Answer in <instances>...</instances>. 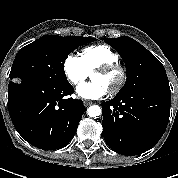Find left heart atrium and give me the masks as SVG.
Wrapping results in <instances>:
<instances>
[{
  "instance_id": "39dd6f15",
  "label": "left heart atrium",
  "mask_w": 178,
  "mask_h": 178,
  "mask_svg": "<svg viewBox=\"0 0 178 178\" xmlns=\"http://www.w3.org/2000/svg\"><path fill=\"white\" fill-rule=\"evenodd\" d=\"M76 92L82 99L97 100L106 96L109 89L102 83L92 81L79 85Z\"/></svg>"
}]
</instances>
